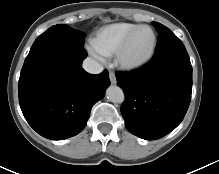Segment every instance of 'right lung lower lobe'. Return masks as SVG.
<instances>
[{
	"label": "right lung lower lobe",
	"instance_id": "right-lung-lower-lobe-1",
	"mask_svg": "<svg viewBox=\"0 0 219 174\" xmlns=\"http://www.w3.org/2000/svg\"><path fill=\"white\" fill-rule=\"evenodd\" d=\"M83 47L52 44L27 56L18 82L19 104L29 125L41 136L62 140L80 133L92 106L110 85L104 70L82 68Z\"/></svg>",
	"mask_w": 219,
	"mask_h": 174
}]
</instances>
